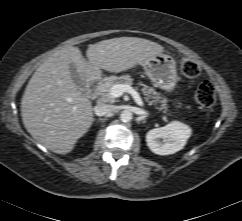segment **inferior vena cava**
<instances>
[{
    "mask_svg": "<svg viewBox=\"0 0 242 221\" xmlns=\"http://www.w3.org/2000/svg\"><path fill=\"white\" fill-rule=\"evenodd\" d=\"M114 111V106L113 105H108V104H97L94 107V112L97 116H105Z\"/></svg>",
    "mask_w": 242,
    "mask_h": 221,
    "instance_id": "1",
    "label": "inferior vena cava"
}]
</instances>
